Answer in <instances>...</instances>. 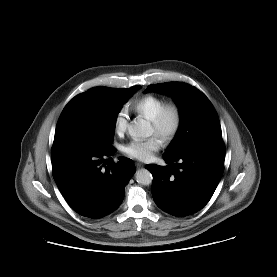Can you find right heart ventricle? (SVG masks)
<instances>
[{"label": "right heart ventricle", "mask_w": 277, "mask_h": 277, "mask_svg": "<svg viewBox=\"0 0 277 277\" xmlns=\"http://www.w3.org/2000/svg\"><path fill=\"white\" fill-rule=\"evenodd\" d=\"M166 104V100L160 96L147 94L134 100L131 103V109L138 115L153 120L161 108Z\"/></svg>", "instance_id": "1"}]
</instances>
